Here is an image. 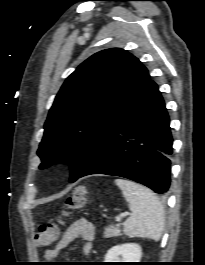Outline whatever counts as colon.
<instances>
[{"label": "colon", "instance_id": "5ec220e1", "mask_svg": "<svg viewBox=\"0 0 205 265\" xmlns=\"http://www.w3.org/2000/svg\"><path fill=\"white\" fill-rule=\"evenodd\" d=\"M87 197V190L84 187L76 188L67 198L66 206L69 209L81 208ZM59 235L58 223L42 224L36 234V242L39 246L48 247L54 244Z\"/></svg>", "mask_w": 205, "mask_h": 265}]
</instances>
